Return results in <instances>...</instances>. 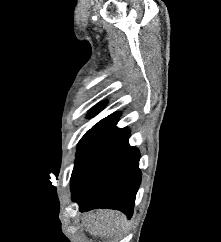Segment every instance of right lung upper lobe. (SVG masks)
<instances>
[{"instance_id": "obj_1", "label": "right lung upper lobe", "mask_w": 221, "mask_h": 242, "mask_svg": "<svg viewBox=\"0 0 221 242\" xmlns=\"http://www.w3.org/2000/svg\"><path fill=\"white\" fill-rule=\"evenodd\" d=\"M103 107H104L103 104L95 106L91 110L90 117L97 114V112H99ZM118 117H119V113L111 114V115L107 116L106 118L102 119L101 121H99L95 126H97L99 128L104 127V126L108 125L109 123H111L112 121H114L115 119H117Z\"/></svg>"}]
</instances>
